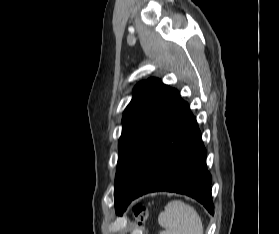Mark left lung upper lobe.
Returning a JSON list of instances; mask_svg holds the SVG:
<instances>
[{
    "label": "left lung upper lobe",
    "mask_w": 279,
    "mask_h": 234,
    "mask_svg": "<svg viewBox=\"0 0 279 234\" xmlns=\"http://www.w3.org/2000/svg\"><path fill=\"white\" fill-rule=\"evenodd\" d=\"M168 90L169 87L157 78L141 81L135 86L133 98L124 111L114 186L115 208L119 215L124 212L121 192L135 155Z\"/></svg>",
    "instance_id": "5c2ea615"
}]
</instances>
